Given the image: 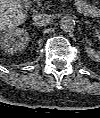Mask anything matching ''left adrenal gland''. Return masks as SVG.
I'll use <instances>...</instances> for the list:
<instances>
[{
	"mask_svg": "<svg viewBox=\"0 0 100 118\" xmlns=\"http://www.w3.org/2000/svg\"><path fill=\"white\" fill-rule=\"evenodd\" d=\"M84 23H85V24H88V22H87V21H85Z\"/></svg>",
	"mask_w": 100,
	"mask_h": 118,
	"instance_id": "1",
	"label": "left adrenal gland"
}]
</instances>
